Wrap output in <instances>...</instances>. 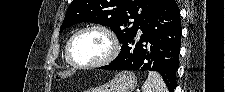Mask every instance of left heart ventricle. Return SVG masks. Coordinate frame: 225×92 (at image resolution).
Segmentation results:
<instances>
[{"instance_id": "b2bd125f", "label": "left heart ventricle", "mask_w": 225, "mask_h": 92, "mask_svg": "<svg viewBox=\"0 0 225 92\" xmlns=\"http://www.w3.org/2000/svg\"><path fill=\"white\" fill-rule=\"evenodd\" d=\"M110 51L107 37L99 31H87L73 42L71 54L81 64H90L105 58Z\"/></svg>"}]
</instances>
